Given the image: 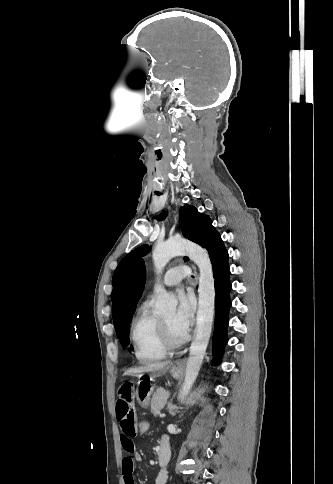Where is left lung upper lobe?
<instances>
[{
    "mask_svg": "<svg viewBox=\"0 0 333 484\" xmlns=\"http://www.w3.org/2000/svg\"><path fill=\"white\" fill-rule=\"evenodd\" d=\"M179 215L183 235L187 239L201 246L205 228L208 223L212 222L209 216L199 213L194 206L188 204L180 209ZM149 250L150 247L148 245H142L139 248L134 249L121 260L113 274V288H116L119 279L124 274V270L128 268L130 262L137 257L146 255Z\"/></svg>",
    "mask_w": 333,
    "mask_h": 484,
    "instance_id": "5c2ea615",
    "label": "left lung upper lobe"
}]
</instances>
